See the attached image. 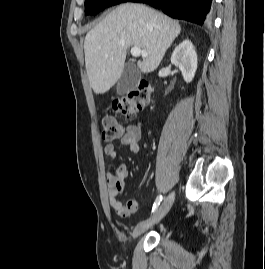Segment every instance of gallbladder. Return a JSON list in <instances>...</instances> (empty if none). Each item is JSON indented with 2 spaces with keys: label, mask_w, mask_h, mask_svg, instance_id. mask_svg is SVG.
I'll return each instance as SVG.
<instances>
[{
  "label": "gallbladder",
  "mask_w": 265,
  "mask_h": 269,
  "mask_svg": "<svg viewBox=\"0 0 265 269\" xmlns=\"http://www.w3.org/2000/svg\"><path fill=\"white\" fill-rule=\"evenodd\" d=\"M140 79V71L133 63H127L117 83V94L125 95L134 90Z\"/></svg>",
  "instance_id": "bac80fb5"
}]
</instances>
